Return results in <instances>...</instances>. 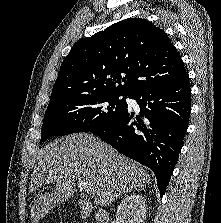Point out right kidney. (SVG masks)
Segmentation results:
<instances>
[{"instance_id": "right-kidney-1", "label": "right kidney", "mask_w": 221, "mask_h": 223, "mask_svg": "<svg viewBox=\"0 0 221 223\" xmlns=\"http://www.w3.org/2000/svg\"><path fill=\"white\" fill-rule=\"evenodd\" d=\"M146 219V203L142 195L125 197L116 211L118 223H144Z\"/></svg>"}]
</instances>
